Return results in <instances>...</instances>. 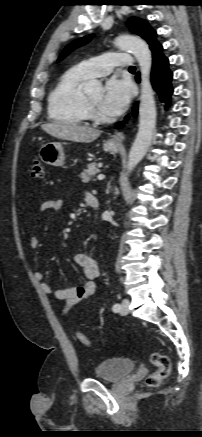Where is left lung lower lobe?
Instances as JSON below:
<instances>
[{"mask_svg":"<svg viewBox=\"0 0 202 437\" xmlns=\"http://www.w3.org/2000/svg\"><path fill=\"white\" fill-rule=\"evenodd\" d=\"M162 45L158 44L152 50V72H151V83L153 88L157 91L159 98L165 103V108L170 106V97L173 93V88L171 85L172 72L169 70L168 59L162 54ZM137 81H140L139 73L136 76ZM138 103L135 104L133 108V116L137 114ZM128 117H126L127 119ZM123 122H120L116 128L123 127Z\"/></svg>","mask_w":202,"mask_h":437,"instance_id":"obj_1","label":"left lung lower lobe"}]
</instances>
